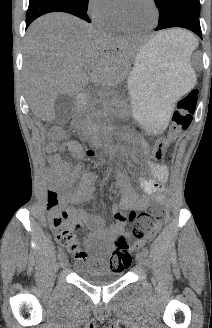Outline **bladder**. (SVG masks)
<instances>
[{"mask_svg":"<svg viewBox=\"0 0 212 328\" xmlns=\"http://www.w3.org/2000/svg\"><path fill=\"white\" fill-rule=\"evenodd\" d=\"M74 270L82 280L94 286L112 284L124 275L122 270H101L93 260L77 261Z\"/></svg>","mask_w":212,"mask_h":328,"instance_id":"obj_1","label":"bladder"}]
</instances>
